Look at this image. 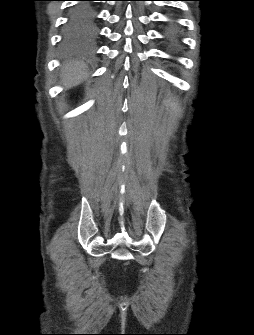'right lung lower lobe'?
I'll return each mask as SVG.
<instances>
[{"mask_svg": "<svg viewBox=\"0 0 254 335\" xmlns=\"http://www.w3.org/2000/svg\"><path fill=\"white\" fill-rule=\"evenodd\" d=\"M87 3H79L74 9H78L75 12H71L69 16V25L78 24L83 22L85 27H91L95 24L96 12L93 8L86 6Z\"/></svg>", "mask_w": 254, "mask_h": 335, "instance_id": "obj_1", "label": "right lung lower lobe"}]
</instances>
